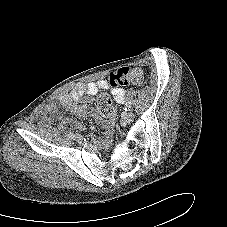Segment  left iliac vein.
I'll list each match as a JSON object with an SVG mask.
<instances>
[{
	"label": "left iliac vein",
	"mask_w": 227,
	"mask_h": 227,
	"mask_svg": "<svg viewBox=\"0 0 227 227\" xmlns=\"http://www.w3.org/2000/svg\"><path fill=\"white\" fill-rule=\"evenodd\" d=\"M122 119H123V121L126 122V123L132 122L133 119H134V114H133V112H132V111L126 112V113L124 114V116H123Z\"/></svg>",
	"instance_id": "4c4485c4"
}]
</instances>
